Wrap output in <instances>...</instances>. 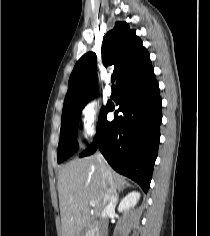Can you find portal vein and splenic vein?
Here are the masks:
<instances>
[{
	"mask_svg": "<svg viewBox=\"0 0 210 236\" xmlns=\"http://www.w3.org/2000/svg\"><path fill=\"white\" fill-rule=\"evenodd\" d=\"M90 205H91V206H95V203H93V202H90Z\"/></svg>",
	"mask_w": 210,
	"mask_h": 236,
	"instance_id": "1",
	"label": "portal vein and splenic vein"
}]
</instances>
